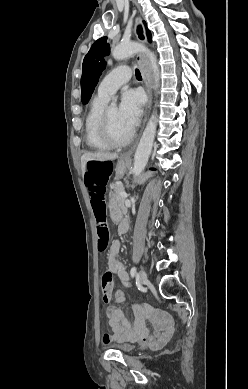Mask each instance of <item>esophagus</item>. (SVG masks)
I'll list each match as a JSON object with an SVG mask.
<instances>
[{
    "mask_svg": "<svg viewBox=\"0 0 248 389\" xmlns=\"http://www.w3.org/2000/svg\"><path fill=\"white\" fill-rule=\"evenodd\" d=\"M135 35H136L137 40L140 43H143V44L146 43L147 38H146L145 30H144V27H143V24H142V21L140 18H136V20H135ZM137 60L140 63L141 67L145 70L144 80H145V85H146L147 94H148L147 111H146V116H145V120H144V124H145L147 121V118H148V112H149V109L151 106V100H152V75H151V71H150L149 66H148V62L144 58V56L141 54H138ZM136 145H137V142L127 152H125L121 156V160L128 161L130 159L131 155L133 154V152L136 148Z\"/></svg>",
    "mask_w": 248,
    "mask_h": 389,
    "instance_id": "34e87169",
    "label": "esophagus"
}]
</instances>
